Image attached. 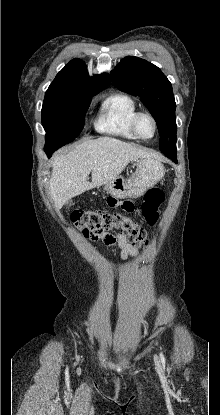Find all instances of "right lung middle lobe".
<instances>
[{"mask_svg": "<svg viewBox=\"0 0 220 415\" xmlns=\"http://www.w3.org/2000/svg\"><path fill=\"white\" fill-rule=\"evenodd\" d=\"M99 92L46 91L42 106V125L46 131L44 150H57L80 134L92 96Z\"/></svg>", "mask_w": 220, "mask_h": 415, "instance_id": "1", "label": "right lung middle lobe"}]
</instances>
